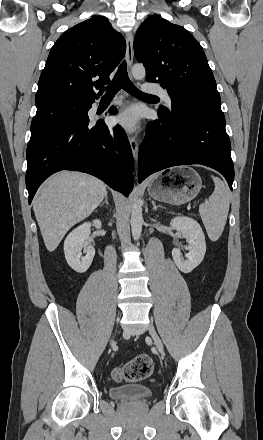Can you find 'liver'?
Wrapping results in <instances>:
<instances>
[{
    "mask_svg": "<svg viewBox=\"0 0 263 440\" xmlns=\"http://www.w3.org/2000/svg\"><path fill=\"white\" fill-rule=\"evenodd\" d=\"M106 195V184L84 173L62 171L50 177L33 202L47 250L54 251L67 231L88 217Z\"/></svg>",
    "mask_w": 263,
    "mask_h": 440,
    "instance_id": "liver-1",
    "label": "liver"
}]
</instances>
